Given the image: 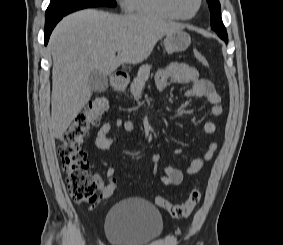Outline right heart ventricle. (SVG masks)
<instances>
[{
    "mask_svg": "<svg viewBox=\"0 0 283 245\" xmlns=\"http://www.w3.org/2000/svg\"><path fill=\"white\" fill-rule=\"evenodd\" d=\"M124 8L130 14L159 19H178L168 9L166 0H125Z\"/></svg>",
    "mask_w": 283,
    "mask_h": 245,
    "instance_id": "1",
    "label": "right heart ventricle"
}]
</instances>
